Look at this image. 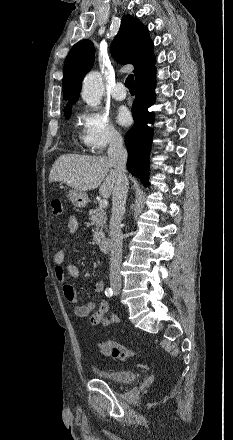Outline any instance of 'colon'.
<instances>
[{"instance_id":"5ec220e1","label":"colon","mask_w":233,"mask_h":440,"mask_svg":"<svg viewBox=\"0 0 233 440\" xmlns=\"http://www.w3.org/2000/svg\"><path fill=\"white\" fill-rule=\"evenodd\" d=\"M52 214L54 216H61L63 214L62 201L54 200L52 202ZM97 345L101 353L109 358L128 360L135 356V352L132 349L113 340H100Z\"/></svg>"}]
</instances>
